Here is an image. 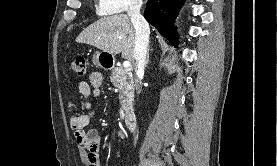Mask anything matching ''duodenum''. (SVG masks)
<instances>
[{"instance_id":"410a0bca","label":"duodenum","mask_w":277,"mask_h":166,"mask_svg":"<svg viewBox=\"0 0 277 166\" xmlns=\"http://www.w3.org/2000/svg\"><path fill=\"white\" fill-rule=\"evenodd\" d=\"M124 125L128 130H134L136 125V115L133 111H127L124 115Z\"/></svg>"}]
</instances>
